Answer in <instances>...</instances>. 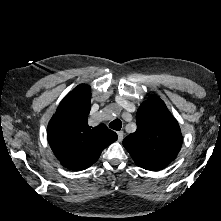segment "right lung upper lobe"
Listing matches in <instances>:
<instances>
[{
  "label": "right lung upper lobe",
  "mask_w": 221,
  "mask_h": 221,
  "mask_svg": "<svg viewBox=\"0 0 221 221\" xmlns=\"http://www.w3.org/2000/svg\"><path fill=\"white\" fill-rule=\"evenodd\" d=\"M90 100V86H77L62 100L48 124V142L55 156L64 167L75 171L95 163L102 150L118 138L105 124L88 126Z\"/></svg>",
  "instance_id": "right-lung-upper-lobe-1"
}]
</instances>
